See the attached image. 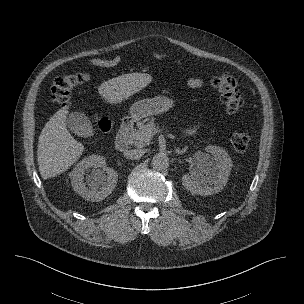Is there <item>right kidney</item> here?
<instances>
[{"instance_id": "right-kidney-1", "label": "right kidney", "mask_w": 304, "mask_h": 304, "mask_svg": "<svg viewBox=\"0 0 304 304\" xmlns=\"http://www.w3.org/2000/svg\"><path fill=\"white\" fill-rule=\"evenodd\" d=\"M93 168L86 186L84 173ZM71 184L75 192L87 201H102L116 186L118 174L106 166L102 156L91 155L82 159L70 173Z\"/></svg>"}]
</instances>
